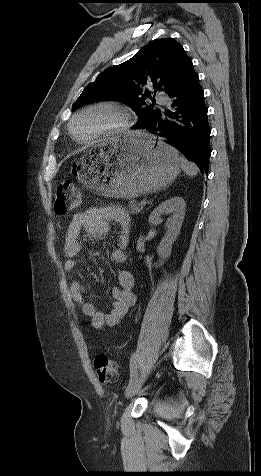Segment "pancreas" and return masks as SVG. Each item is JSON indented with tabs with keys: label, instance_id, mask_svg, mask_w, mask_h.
I'll list each match as a JSON object with an SVG mask.
<instances>
[{
	"label": "pancreas",
	"instance_id": "pancreas-1",
	"mask_svg": "<svg viewBox=\"0 0 261 476\" xmlns=\"http://www.w3.org/2000/svg\"><path fill=\"white\" fill-rule=\"evenodd\" d=\"M128 211L131 214H138L143 209V206L140 203L132 200L128 202Z\"/></svg>",
	"mask_w": 261,
	"mask_h": 476
}]
</instances>
